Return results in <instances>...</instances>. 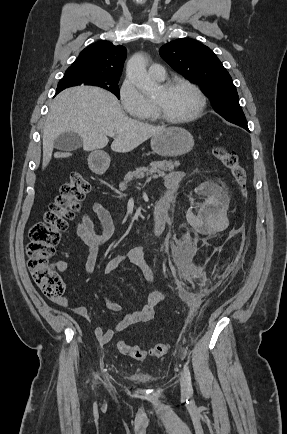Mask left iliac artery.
Masks as SVG:
<instances>
[{"instance_id": "44dca946", "label": "left iliac artery", "mask_w": 287, "mask_h": 434, "mask_svg": "<svg viewBox=\"0 0 287 434\" xmlns=\"http://www.w3.org/2000/svg\"><path fill=\"white\" fill-rule=\"evenodd\" d=\"M183 369H184L185 377L187 379V385H188L189 394H193V388H192V383H191L190 370H189V368H188V366L186 364L184 365Z\"/></svg>"}]
</instances>
